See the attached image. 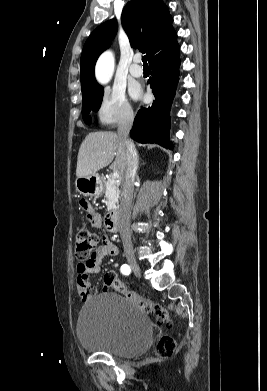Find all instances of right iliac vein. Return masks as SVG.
Segmentation results:
<instances>
[{
  "instance_id": "63e3f726",
  "label": "right iliac vein",
  "mask_w": 267,
  "mask_h": 391,
  "mask_svg": "<svg viewBox=\"0 0 267 391\" xmlns=\"http://www.w3.org/2000/svg\"><path fill=\"white\" fill-rule=\"evenodd\" d=\"M128 259V263L133 271V273L137 276V277H141V269H140V266L139 264L137 263L135 257L133 255H129L127 257Z\"/></svg>"
}]
</instances>
